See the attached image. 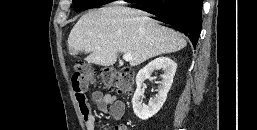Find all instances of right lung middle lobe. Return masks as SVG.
Returning <instances> with one entry per match:
<instances>
[{
	"mask_svg": "<svg viewBox=\"0 0 257 130\" xmlns=\"http://www.w3.org/2000/svg\"><path fill=\"white\" fill-rule=\"evenodd\" d=\"M107 0H73L75 11L79 12L85 9L98 7L106 4Z\"/></svg>",
	"mask_w": 257,
	"mask_h": 130,
	"instance_id": "dd1d6c3e",
	"label": "right lung middle lobe"
}]
</instances>
